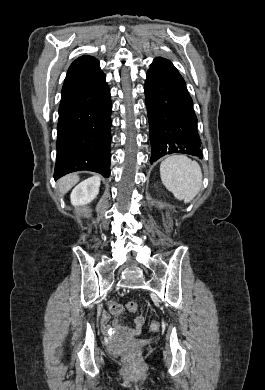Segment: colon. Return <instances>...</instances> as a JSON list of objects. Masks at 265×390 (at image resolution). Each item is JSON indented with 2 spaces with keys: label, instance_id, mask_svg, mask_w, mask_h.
Returning a JSON list of instances; mask_svg holds the SVG:
<instances>
[{
  "label": "colon",
  "instance_id": "colon-1",
  "mask_svg": "<svg viewBox=\"0 0 265 390\" xmlns=\"http://www.w3.org/2000/svg\"><path fill=\"white\" fill-rule=\"evenodd\" d=\"M108 307H109V310L112 314H115V315H121L124 313V307L116 302V301H110L108 303ZM138 304L136 302H128L127 303V309L130 311V312H136L138 310ZM159 323L157 321H152L150 323V329L152 331H158L159 330ZM137 357H138V353L135 349H131V350H128L125 354V359L128 361V362H135L137 360Z\"/></svg>",
  "mask_w": 265,
  "mask_h": 390
}]
</instances>
